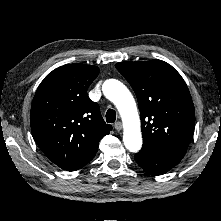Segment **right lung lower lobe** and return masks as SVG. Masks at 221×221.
I'll list each match as a JSON object with an SVG mask.
<instances>
[{
  "label": "right lung lower lobe",
  "instance_id": "98d812e1",
  "mask_svg": "<svg viewBox=\"0 0 221 221\" xmlns=\"http://www.w3.org/2000/svg\"><path fill=\"white\" fill-rule=\"evenodd\" d=\"M92 158H93V157H92ZM92 158H91V159H92ZM91 159H90V160H91ZM90 160H89V161H90ZM89 161H88V162H89ZM88 162H86L85 164H83L82 166H80L79 168H77V169H75V170H78V169L82 168V167H83L84 165H86ZM75 170H72V171H75Z\"/></svg>",
  "mask_w": 221,
  "mask_h": 221
}]
</instances>
